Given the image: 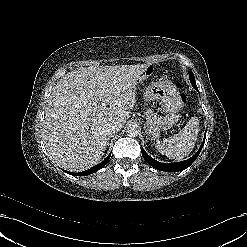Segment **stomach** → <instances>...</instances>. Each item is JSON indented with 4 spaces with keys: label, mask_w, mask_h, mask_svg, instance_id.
Wrapping results in <instances>:
<instances>
[{
    "label": "stomach",
    "mask_w": 247,
    "mask_h": 247,
    "mask_svg": "<svg viewBox=\"0 0 247 247\" xmlns=\"http://www.w3.org/2000/svg\"><path fill=\"white\" fill-rule=\"evenodd\" d=\"M144 97L149 101H159L161 105L160 109L165 113L173 114L181 109L179 92L176 87L168 81L152 82L150 86L147 87ZM167 128L166 125L150 127L147 133L152 139H158L160 133L165 131Z\"/></svg>",
    "instance_id": "obj_1"
}]
</instances>
